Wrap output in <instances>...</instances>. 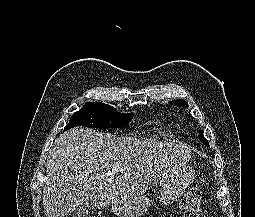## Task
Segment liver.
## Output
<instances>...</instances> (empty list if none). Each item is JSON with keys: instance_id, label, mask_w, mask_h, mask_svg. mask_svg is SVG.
<instances>
[{"instance_id": "obj_1", "label": "liver", "mask_w": 255, "mask_h": 217, "mask_svg": "<svg viewBox=\"0 0 255 217\" xmlns=\"http://www.w3.org/2000/svg\"><path fill=\"white\" fill-rule=\"evenodd\" d=\"M190 159V147L181 143L122 138L88 128L68 130L49 150L42 198L46 217L139 198ZM116 165L123 169L121 175L114 179L105 174Z\"/></svg>"}]
</instances>
